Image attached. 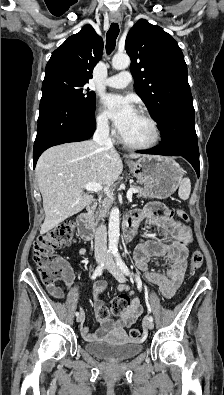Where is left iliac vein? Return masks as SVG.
Here are the masks:
<instances>
[{"label":"left iliac vein","mask_w":224,"mask_h":395,"mask_svg":"<svg viewBox=\"0 0 224 395\" xmlns=\"http://www.w3.org/2000/svg\"><path fill=\"white\" fill-rule=\"evenodd\" d=\"M106 269L121 283L125 282V276L111 257H107L105 262ZM144 326L147 329H153L154 323L152 320L148 319L144 322Z\"/></svg>","instance_id":"1"}]
</instances>
